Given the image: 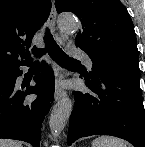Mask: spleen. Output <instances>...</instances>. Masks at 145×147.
Wrapping results in <instances>:
<instances>
[{
    "label": "spleen",
    "instance_id": "3e777b00",
    "mask_svg": "<svg viewBox=\"0 0 145 147\" xmlns=\"http://www.w3.org/2000/svg\"><path fill=\"white\" fill-rule=\"evenodd\" d=\"M92 147H127V145L118 138L101 136L93 140Z\"/></svg>",
    "mask_w": 145,
    "mask_h": 147
}]
</instances>
